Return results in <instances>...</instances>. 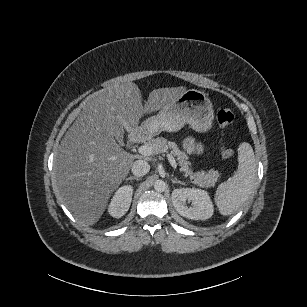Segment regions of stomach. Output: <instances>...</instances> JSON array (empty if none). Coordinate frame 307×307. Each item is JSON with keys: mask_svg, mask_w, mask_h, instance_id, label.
<instances>
[{"mask_svg": "<svg viewBox=\"0 0 307 307\" xmlns=\"http://www.w3.org/2000/svg\"><path fill=\"white\" fill-rule=\"evenodd\" d=\"M213 108L208 97L196 89L185 90L174 102L161 107L141 123L143 130L156 136L161 132H176L186 124L197 131L211 128Z\"/></svg>", "mask_w": 307, "mask_h": 307, "instance_id": "obj_1", "label": "stomach"}]
</instances>
